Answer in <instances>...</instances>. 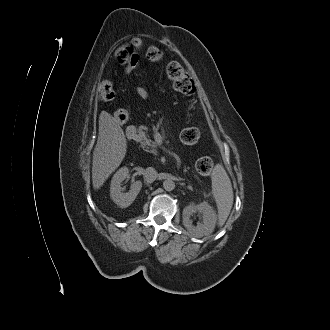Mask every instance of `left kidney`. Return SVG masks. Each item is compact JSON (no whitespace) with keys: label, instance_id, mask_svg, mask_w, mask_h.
Masks as SVG:
<instances>
[{"label":"left kidney","instance_id":"5707ae66","mask_svg":"<svg viewBox=\"0 0 330 330\" xmlns=\"http://www.w3.org/2000/svg\"><path fill=\"white\" fill-rule=\"evenodd\" d=\"M199 212L202 215V222L193 226L190 217ZM183 225L194 237L201 238L213 232L217 216L213 208L207 203L202 202L198 205H188L183 209Z\"/></svg>","mask_w":330,"mask_h":330}]
</instances>
